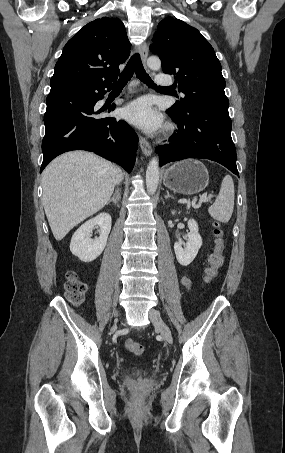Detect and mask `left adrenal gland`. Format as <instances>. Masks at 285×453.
<instances>
[{"mask_svg": "<svg viewBox=\"0 0 285 453\" xmlns=\"http://www.w3.org/2000/svg\"><path fill=\"white\" fill-rule=\"evenodd\" d=\"M167 195L165 196V199L171 198L174 199L172 195L169 194V191H166Z\"/></svg>", "mask_w": 285, "mask_h": 453, "instance_id": "a2214340", "label": "left adrenal gland"}]
</instances>
